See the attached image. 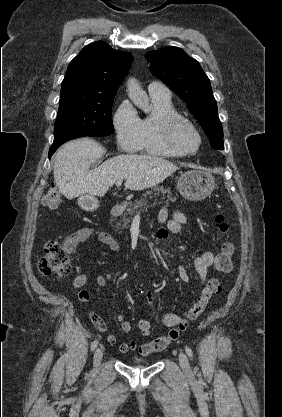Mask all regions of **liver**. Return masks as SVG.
<instances>
[{"instance_id":"6515ba94","label":"liver","mask_w":282,"mask_h":417,"mask_svg":"<svg viewBox=\"0 0 282 417\" xmlns=\"http://www.w3.org/2000/svg\"><path fill=\"white\" fill-rule=\"evenodd\" d=\"M104 150L92 138L70 140L58 150L54 162V180L66 198L78 194L104 196L108 188L125 178V188L144 190L163 182L179 166L152 154H118L107 158L90 170V164L102 156Z\"/></svg>"}]
</instances>
